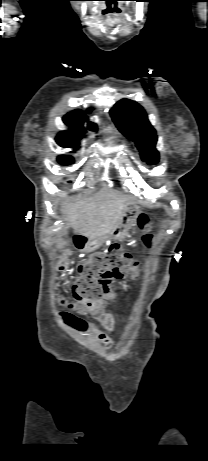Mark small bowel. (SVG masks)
<instances>
[{
  "label": "small bowel",
  "mask_w": 208,
  "mask_h": 461,
  "mask_svg": "<svg viewBox=\"0 0 208 461\" xmlns=\"http://www.w3.org/2000/svg\"><path fill=\"white\" fill-rule=\"evenodd\" d=\"M116 291L117 288L113 285V282L106 284L102 298L89 312L90 315L95 318L104 329L108 331L115 329V318L105 310L104 304L107 301L113 300L115 298ZM93 332L96 337L103 343L105 348L110 347L111 339L107 333L100 331L97 328H93Z\"/></svg>",
  "instance_id": "1"
}]
</instances>
